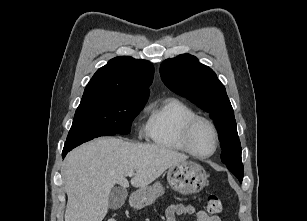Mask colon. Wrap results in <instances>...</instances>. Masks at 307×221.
I'll return each mask as SVG.
<instances>
[{
    "mask_svg": "<svg viewBox=\"0 0 307 221\" xmlns=\"http://www.w3.org/2000/svg\"><path fill=\"white\" fill-rule=\"evenodd\" d=\"M207 209L212 214H220L223 211V205L221 200L214 194H209L206 199ZM107 221H117L114 218L108 219Z\"/></svg>",
    "mask_w": 307,
    "mask_h": 221,
    "instance_id": "1",
    "label": "colon"
}]
</instances>
